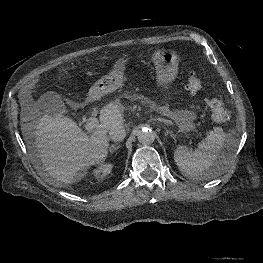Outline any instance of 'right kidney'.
<instances>
[{
  "label": "right kidney",
  "instance_id": "obj_1",
  "mask_svg": "<svg viewBox=\"0 0 263 263\" xmlns=\"http://www.w3.org/2000/svg\"><path fill=\"white\" fill-rule=\"evenodd\" d=\"M113 168L112 164H102L101 166H99L98 169H95L93 171V174L96 178H100L103 179L105 178L108 174L111 173Z\"/></svg>",
  "mask_w": 263,
  "mask_h": 263
}]
</instances>
